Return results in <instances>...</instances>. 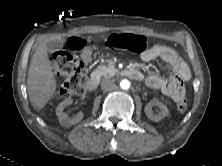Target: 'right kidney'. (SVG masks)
Listing matches in <instances>:
<instances>
[{"instance_id": "obj_1", "label": "right kidney", "mask_w": 222, "mask_h": 166, "mask_svg": "<svg viewBox=\"0 0 222 166\" xmlns=\"http://www.w3.org/2000/svg\"><path fill=\"white\" fill-rule=\"evenodd\" d=\"M72 102L73 101L71 99L64 100L56 108V115L59 119V122L65 127H69L71 125L77 124L78 122H80L83 119V113L82 112H79L78 114H76L75 116H73L71 118H69L67 116V114L64 113V109L68 105L72 104Z\"/></svg>"}]
</instances>
